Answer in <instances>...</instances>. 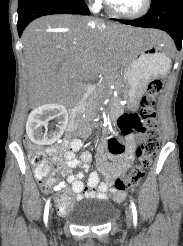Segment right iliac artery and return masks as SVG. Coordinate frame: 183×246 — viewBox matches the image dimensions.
<instances>
[{
    "mask_svg": "<svg viewBox=\"0 0 183 246\" xmlns=\"http://www.w3.org/2000/svg\"><path fill=\"white\" fill-rule=\"evenodd\" d=\"M49 206H50V198L47 200L45 209H44V222L47 224L48 221V214H49Z\"/></svg>",
    "mask_w": 183,
    "mask_h": 246,
    "instance_id": "1",
    "label": "right iliac artery"
}]
</instances>
